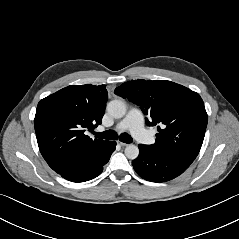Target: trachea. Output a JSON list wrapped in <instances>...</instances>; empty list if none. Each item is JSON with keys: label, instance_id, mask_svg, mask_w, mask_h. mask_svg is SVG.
Returning <instances> with one entry per match:
<instances>
[{"label": "trachea", "instance_id": "1", "mask_svg": "<svg viewBox=\"0 0 239 239\" xmlns=\"http://www.w3.org/2000/svg\"><path fill=\"white\" fill-rule=\"evenodd\" d=\"M96 137L106 140H116L118 138L115 131L107 130L105 132L94 133ZM119 140L124 143H132L133 139L129 134L123 133L119 136Z\"/></svg>", "mask_w": 239, "mask_h": 239}]
</instances>
